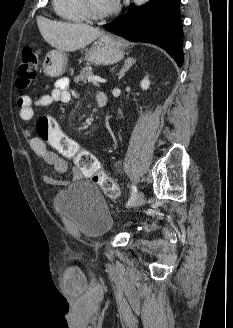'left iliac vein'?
Returning a JSON list of instances; mask_svg holds the SVG:
<instances>
[{"mask_svg": "<svg viewBox=\"0 0 233 328\" xmlns=\"http://www.w3.org/2000/svg\"><path fill=\"white\" fill-rule=\"evenodd\" d=\"M143 203H144V193H143L142 191H139V192L136 194V196H135L133 202L131 203V206H133V207H139V206H141Z\"/></svg>", "mask_w": 233, "mask_h": 328, "instance_id": "1", "label": "left iliac vein"}]
</instances>
